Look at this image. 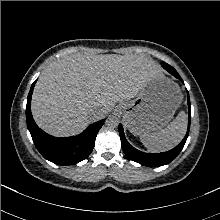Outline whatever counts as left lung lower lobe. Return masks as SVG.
<instances>
[{
  "label": "left lung lower lobe",
  "mask_w": 220,
  "mask_h": 220,
  "mask_svg": "<svg viewBox=\"0 0 220 220\" xmlns=\"http://www.w3.org/2000/svg\"><path fill=\"white\" fill-rule=\"evenodd\" d=\"M161 65L163 66L164 69H166L168 72H170L173 76H175L176 78L180 79L183 82L182 78L180 77L178 72L173 67H171L170 65H168L165 62H162ZM187 94H188V91H187ZM187 102H188V109H189V114H188L189 122H188L187 133H186L184 139L181 141V143L178 146H176L172 150L164 152V153L151 154V153H144V152H141V151L135 149L126 140L125 135H124V131H123V127L120 124L119 125V134H120V138H121V146H122V149H123L124 153L126 154V156L129 159H131L137 163H140L141 165L148 166V167H159V166L168 164L172 160H174L178 156V154L181 152L182 148L184 147V144H185L187 137H188V134H189L190 120H191V107H190L189 94H188Z\"/></svg>",
  "instance_id": "1"
}]
</instances>
